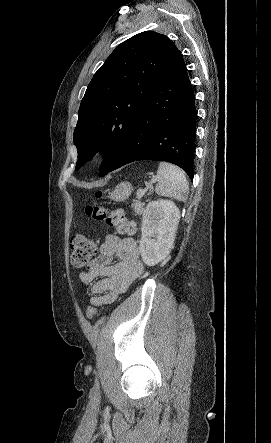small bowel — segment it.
<instances>
[{"mask_svg": "<svg viewBox=\"0 0 271 443\" xmlns=\"http://www.w3.org/2000/svg\"><path fill=\"white\" fill-rule=\"evenodd\" d=\"M142 271L136 241L132 237L120 238L109 234L101 244L98 256L87 270L80 273L79 278L83 284L91 285L93 296L90 304L101 308L113 303Z\"/></svg>", "mask_w": 271, "mask_h": 443, "instance_id": "small-bowel-1", "label": "small bowel"}]
</instances>
